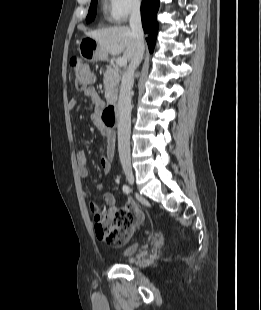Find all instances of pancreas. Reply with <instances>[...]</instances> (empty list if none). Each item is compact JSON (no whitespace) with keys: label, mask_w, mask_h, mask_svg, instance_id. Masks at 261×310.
<instances>
[{"label":"pancreas","mask_w":261,"mask_h":310,"mask_svg":"<svg viewBox=\"0 0 261 310\" xmlns=\"http://www.w3.org/2000/svg\"><path fill=\"white\" fill-rule=\"evenodd\" d=\"M120 79L121 76L118 69L108 66L104 73L103 83L105 88V98L110 103L117 99Z\"/></svg>","instance_id":"obj_1"}]
</instances>
